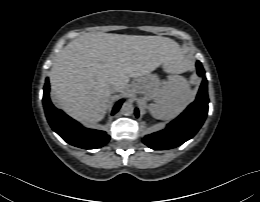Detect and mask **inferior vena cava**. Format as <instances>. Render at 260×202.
I'll list each match as a JSON object with an SVG mask.
<instances>
[{
  "label": "inferior vena cava",
  "mask_w": 260,
  "mask_h": 202,
  "mask_svg": "<svg viewBox=\"0 0 260 202\" xmlns=\"http://www.w3.org/2000/svg\"><path fill=\"white\" fill-rule=\"evenodd\" d=\"M119 89H120V87H119V86H117V85H115V86H112V87H111V92H112V93H114V92H118V91H119Z\"/></svg>",
  "instance_id": "inferior-vena-cava-1"
}]
</instances>
